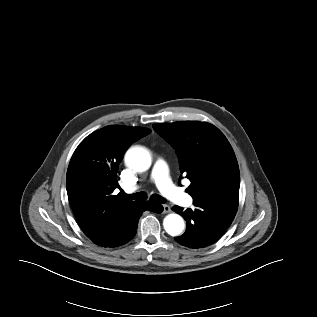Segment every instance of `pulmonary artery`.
<instances>
[{
	"label": "pulmonary artery",
	"instance_id": "obj_1",
	"mask_svg": "<svg viewBox=\"0 0 317 317\" xmlns=\"http://www.w3.org/2000/svg\"><path fill=\"white\" fill-rule=\"evenodd\" d=\"M151 178L155 182L159 191L170 201L184 207H188L193 204V198L176 187L171 181L168 173V166L163 159L159 158L156 160L152 169ZM138 189V185H133L127 186L125 191L127 193H132Z\"/></svg>",
	"mask_w": 317,
	"mask_h": 317
}]
</instances>
